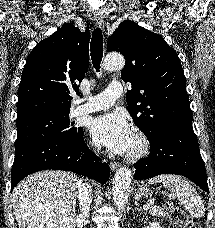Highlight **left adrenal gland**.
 Masks as SVG:
<instances>
[{"label":"left adrenal gland","mask_w":215,"mask_h":228,"mask_svg":"<svg viewBox=\"0 0 215 228\" xmlns=\"http://www.w3.org/2000/svg\"><path fill=\"white\" fill-rule=\"evenodd\" d=\"M136 206H137V210L138 212H143L142 208H140L138 202H135ZM143 214H146V212H143Z\"/></svg>","instance_id":"obj_1"}]
</instances>
